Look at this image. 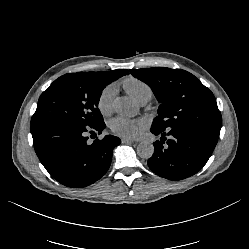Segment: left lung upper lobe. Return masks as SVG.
Masks as SVG:
<instances>
[{"label":"left lung upper lobe","mask_w":249,"mask_h":249,"mask_svg":"<svg viewBox=\"0 0 249 249\" xmlns=\"http://www.w3.org/2000/svg\"><path fill=\"white\" fill-rule=\"evenodd\" d=\"M130 73L145 82L160 102L152 125L163 130L190 124L222 126L213 93L191 73L163 67L131 69Z\"/></svg>","instance_id":"obj_1"}]
</instances>
